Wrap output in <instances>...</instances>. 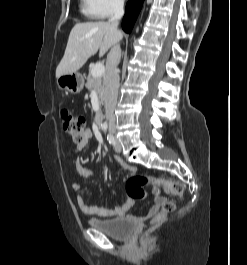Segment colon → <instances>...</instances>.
Wrapping results in <instances>:
<instances>
[{
    "label": "colon",
    "mask_w": 247,
    "mask_h": 265,
    "mask_svg": "<svg viewBox=\"0 0 247 265\" xmlns=\"http://www.w3.org/2000/svg\"><path fill=\"white\" fill-rule=\"evenodd\" d=\"M61 122L63 129L68 133L75 143H80L83 141L87 130L83 116L74 114L64 109L61 112ZM148 183H152L154 185L155 191L163 189L173 193L179 198L183 196L184 187L181 183L169 181L164 178H154L146 174L133 175L127 178L125 181V191L132 199H144L147 196V192L144 187ZM174 208V202L165 201L162 204L161 212L153 219V223H160L164 219L165 215L173 211Z\"/></svg>",
    "instance_id": "obj_1"
}]
</instances>
